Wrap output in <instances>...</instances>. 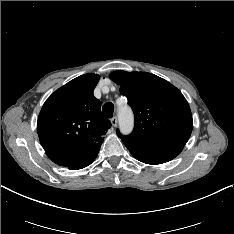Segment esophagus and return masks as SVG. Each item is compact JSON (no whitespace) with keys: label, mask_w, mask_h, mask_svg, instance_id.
<instances>
[{"label":"esophagus","mask_w":234,"mask_h":234,"mask_svg":"<svg viewBox=\"0 0 234 234\" xmlns=\"http://www.w3.org/2000/svg\"><path fill=\"white\" fill-rule=\"evenodd\" d=\"M111 124L113 127H116L117 124H118V118L116 116H114L112 119H111Z\"/></svg>","instance_id":"obj_1"}]
</instances>
